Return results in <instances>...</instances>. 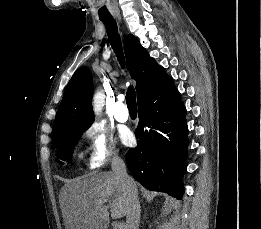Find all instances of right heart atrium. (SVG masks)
<instances>
[{
    "instance_id": "right-heart-atrium-1",
    "label": "right heart atrium",
    "mask_w": 261,
    "mask_h": 229,
    "mask_svg": "<svg viewBox=\"0 0 261 229\" xmlns=\"http://www.w3.org/2000/svg\"><path fill=\"white\" fill-rule=\"evenodd\" d=\"M86 137L89 140L90 169H98L117 158L114 140L100 124H92L86 131Z\"/></svg>"
}]
</instances>
